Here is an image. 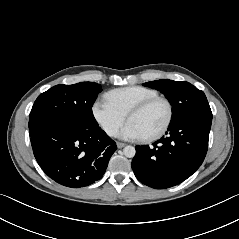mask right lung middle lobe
<instances>
[{
    "label": "right lung middle lobe",
    "instance_id": "1",
    "mask_svg": "<svg viewBox=\"0 0 239 239\" xmlns=\"http://www.w3.org/2000/svg\"><path fill=\"white\" fill-rule=\"evenodd\" d=\"M101 86L94 82L59 84L40 94L29 115L30 136L46 127L89 128L98 125L92 106Z\"/></svg>",
    "mask_w": 239,
    "mask_h": 239
}]
</instances>
